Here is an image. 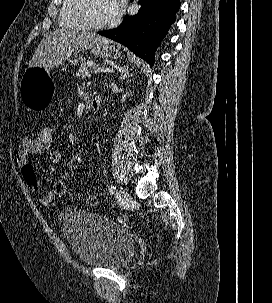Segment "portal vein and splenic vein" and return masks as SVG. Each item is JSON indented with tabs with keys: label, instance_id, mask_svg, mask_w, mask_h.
<instances>
[{
	"label": "portal vein and splenic vein",
	"instance_id": "obj_1",
	"mask_svg": "<svg viewBox=\"0 0 272 303\" xmlns=\"http://www.w3.org/2000/svg\"><path fill=\"white\" fill-rule=\"evenodd\" d=\"M113 71H114L113 68L101 67V68H96V69L94 70V73H97V72H108V73H110V72H113Z\"/></svg>",
	"mask_w": 272,
	"mask_h": 303
}]
</instances>
